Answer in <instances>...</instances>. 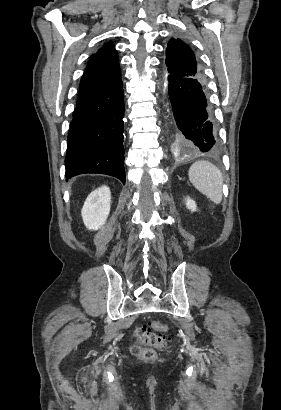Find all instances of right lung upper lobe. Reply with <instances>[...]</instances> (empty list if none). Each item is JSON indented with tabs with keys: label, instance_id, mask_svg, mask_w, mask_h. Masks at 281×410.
I'll return each instance as SVG.
<instances>
[{
	"label": "right lung upper lobe",
	"instance_id": "cb5924a9",
	"mask_svg": "<svg viewBox=\"0 0 281 410\" xmlns=\"http://www.w3.org/2000/svg\"><path fill=\"white\" fill-rule=\"evenodd\" d=\"M121 80L117 51L111 43L93 54L81 78L78 97L97 93Z\"/></svg>",
	"mask_w": 281,
	"mask_h": 410
}]
</instances>
